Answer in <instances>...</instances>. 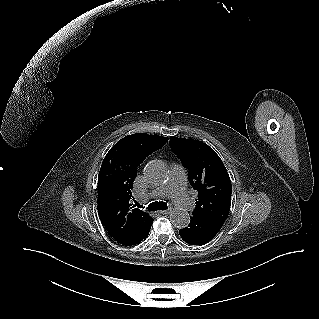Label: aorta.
<instances>
[{
	"label": "aorta",
	"mask_w": 319,
	"mask_h": 319,
	"mask_svg": "<svg viewBox=\"0 0 319 319\" xmlns=\"http://www.w3.org/2000/svg\"><path fill=\"white\" fill-rule=\"evenodd\" d=\"M144 175L151 183H162L168 176V168L164 162L153 160L146 165ZM170 220L173 226L185 228L190 223V216L185 209H174L170 214Z\"/></svg>",
	"instance_id": "aorta-1"
}]
</instances>
